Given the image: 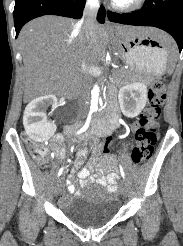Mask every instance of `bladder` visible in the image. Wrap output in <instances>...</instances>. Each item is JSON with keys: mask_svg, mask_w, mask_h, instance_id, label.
I'll list each match as a JSON object with an SVG mask.
<instances>
[{"mask_svg": "<svg viewBox=\"0 0 183 246\" xmlns=\"http://www.w3.org/2000/svg\"><path fill=\"white\" fill-rule=\"evenodd\" d=\"M119 209L118 199L101 185L62 204L63 214L75 225L95 228L110 222Z\"/></svg>", "mask_w": 183, "mask_h": 246, "instance_id": "31cf9c89", "label": "bladder"}]
</instances>
